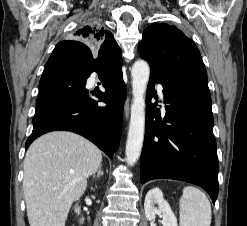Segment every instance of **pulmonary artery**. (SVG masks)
Returning a JSON list of instances; mask_svg holds the SVG:
<instances>
[{"label":"pulmonary artery","instance_id":"e3ab8cb5","mask_svg":"<svg viewBox=\"0 0 247 226\" xmlns=\"http://www.w3.org/2000/svg\"><path fill=\"white\" fill-rule=\"evenodd\" d=\"M158 92H159L160 98L163 100L162 88L160 86H158Z\"/></svg>","mask_w":247,"mask_h":226}]
</instances>
